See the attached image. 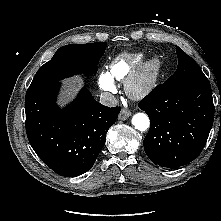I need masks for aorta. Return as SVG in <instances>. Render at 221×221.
Listing matches in <instances>:
<instances>
[{"label":"aorta","mask_w":221,"mask_h":221,"mask_svg":"<svg viewBox=\"0 0 221 221\" xmlns=\"http://www.w3.org/2000/svg\"><path fill=\"white\" fill-rule=\"evenodd\" d=\"M132 124L135 127V129L144 131L150 126V120L148 116L144 113H136L132 117Z\"/></svg>","instance_id":"1"}]
</instances>
